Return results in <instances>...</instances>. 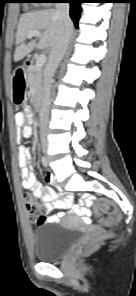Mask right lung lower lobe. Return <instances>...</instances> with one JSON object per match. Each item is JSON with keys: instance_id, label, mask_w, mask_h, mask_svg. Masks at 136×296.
I'll list each match as a JSON object with an SVG mask.
<instances>
[{"instance_id": "right-lung-lower-lobe-1", "label": "right lung lower lobe", "mask_w": 136, "mask_h": 296, "mask_svg": "<svg viewBox=\"0 0 136 296\" xmlns=\"http://www.w3.org/2000/svg\"><path fill=\"white\" fill-rule=\"evenodd\" d=\"M70 3V16L74 21L76 27H78V20L82 11L80 4L86 2V0H65Z\"/></svg>"}]
</instances>
